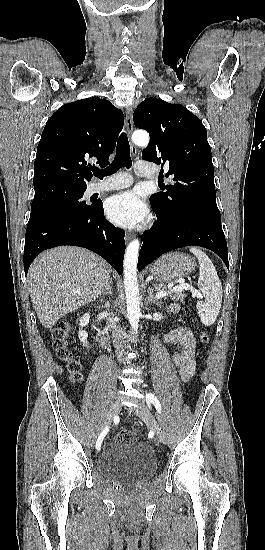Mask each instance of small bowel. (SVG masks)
Listing matches in <instances>:
<instances>
[{"label":"small bowel","mask_w":265,"mask_h":550,"mask_svg":"<svg viewBox=\"0 0 265 550\" xmlns=\"http://www.w3.org/2000/svg\"><path fill=\"white\" fill-rule=\"evenodd\" d=\"M171 313H176L177 307L169 308ZM170 344L177 343L180 350L173 357V363L178 368L183 381H188L195 370L196 343L193 334L186 328H178L165 337Z\"/></svg>","instance_id":"small-bowel-1"}]
</instances>
